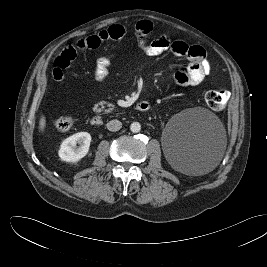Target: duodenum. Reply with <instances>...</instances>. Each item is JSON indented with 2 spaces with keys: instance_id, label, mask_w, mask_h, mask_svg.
Here are the masks:
<instances>
[{
  "instance_id": "duodenum-1",
  "label": "duodenum",
  "mask_w": 267,
  "mask_h": 267,
  "mask_svg": "<svg viewBox=\"0 0 267 267\" xmlns=\"http://www.w3.org/2000/svg\"><path fill=\"white\" fill-rule=\"evenodd\" d=\"M150 107V103L147 101H140L136 104V110L140 112L148 111ZM91 124L94 126H101L103 125V119L98 115L93 116L91 119Z\"/></svg>"
}]
</instances>
